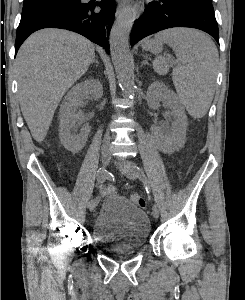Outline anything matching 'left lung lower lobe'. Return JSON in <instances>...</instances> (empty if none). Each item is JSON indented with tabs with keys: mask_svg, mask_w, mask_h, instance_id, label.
I'll use <instances>...</instances> for the list:
<instances>
[{
	"mask_svg": "<svg viewBox=\"0 0 245 300\" xmlns=\"http://www.w3.org/2000/svg\"><path fill=\"white\" fill-rule=\"evenodd\" d=\"M190 27L210 34L219 43L218 24L212 2L206 0L148 1L144 14L131 31V45L158 31Z\"/></svg>",
	"mask_w": 245,
	"mask_h": 300,
	"instance_id": "obj_1",
	"label": "left lung lower lobe"
}]
</instances>
